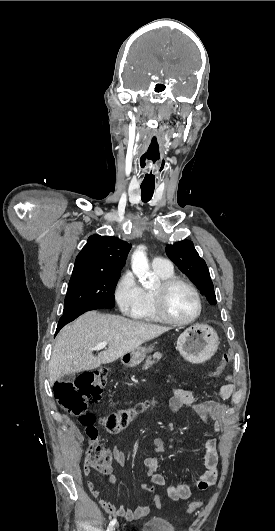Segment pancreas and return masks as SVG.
<instances>
[{"mask_svg": "<svg viewBox=\"0 0 275 531\" xmlns=\"http://www.w3.org/2000/svg\"><path fill=\"white\" fill-rule=\"evenodd\" d=\"M161 357H162V353H154L152 357H147V361H145V365H143V371H147V369H149L151 365H154V363H157V361H160ZM129 367H133V365H129Z\"/></svg>", "mask_w": 275, "mask_h": 531, "instance_id": "pancreas-1", "label": "pancreas"}]
</instances>
